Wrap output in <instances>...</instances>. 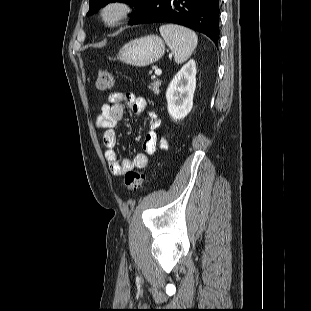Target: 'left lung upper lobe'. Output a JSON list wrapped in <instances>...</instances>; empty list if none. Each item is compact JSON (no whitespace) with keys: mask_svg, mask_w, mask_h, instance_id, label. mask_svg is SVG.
Listing matches in <instances>:
<instances>
[{"mask_svg":"<svg viewBox=\"0 0 311 311\" xmlns=\"http://www.w3.org/2000/svg\"><path fill=\"white\" fill-rule=\"evenodd\" d=\"M144 0H90L89 1V11L87 15L95 13L101 6H104L110 2H124L128 3L130 6H134L138 9Z\"/></svg>","mask_w":311,"mask_h":311,"instance_id":"1","label":"left lung upper lobe"}]
</instances>
